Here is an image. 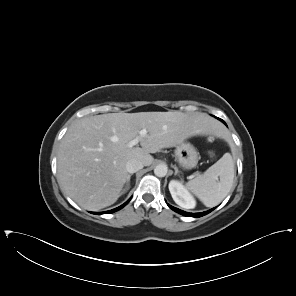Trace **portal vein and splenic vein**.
<instances>
[{
    "mask_svg": "<svg viewBox=\"0 0 296 296\" xmlns=\"http://www.w3.org/2000/svg\"><path fill=\"white\" fill-rule=\"evenodd\" d=\"M147 135V130L146 129H142L139 131V136L135 137L133 140H131L127 145L128 147H133L135 145H137L140 140L145 137Z\"/></svg>",
    "mask_w": 296,
    "mask_h": 296,
    "instance_id": "1",
    "label": "portal vein and splenic vein"
}]
</instances>
